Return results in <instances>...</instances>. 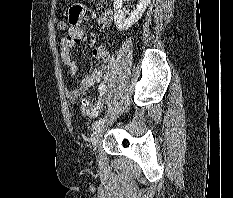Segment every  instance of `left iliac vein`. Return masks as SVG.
Segmentation results:
<instances>
[{
    "label": "left iliac vein",
    "instance_id": "left-iliac-vein-1",
    "mask_svg": "<svg viewBox=\"0 0 233 198\" xmlns=\"http://www.w3.org/2000/svg\"><path fill=\"white\" fill-rule=\"evenodd\" d=\"M104 131V124L100 125L99 127L95 128L92 137H91V143L93 145L94 152H96L99 140L102 136V133Z\"/></svg>",
    "mask_w": 233,
    "mask_h": 198
}]
</instances>
